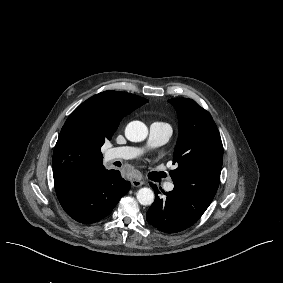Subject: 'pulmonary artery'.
<instances>
[{"instance_id":"pulmonary-artery-1","label":"pulmonary artery","mask_w":283,"mask_h":283,"mask_svg":"<svg viewBox=\"0 0 283 283\" xmlns=\"http://www.w3.org/2000/svg\"><path fill=\"white\" fill-rule=\"evenodd\" d=\"M172 131L170 128L163 124L154 123L149 129V146L156 147L167 143L171 137ZM142 150L136 147L123 146L111 148L107 151V157L110 161H123L133 159L139 156ZM175 188V182L173 179H169L165 185L164 189L167 192L173 191Z\"/></svg>"}]
</instances>
